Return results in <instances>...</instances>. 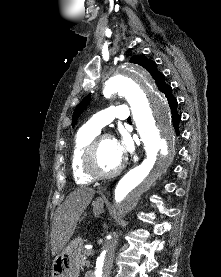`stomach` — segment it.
Masks as SVG:
<instances>
[{
	"mask_svg": "<svg viewBox=\"0 0 221 277\" xmlns=\"http://www.w3.org/2000/svg\"><path fill=\"white\" fill-rule=\"evenodd\" d=\"M93 212L99 215L104 212V201L96 199L92 203ZM84 240L77 237L70 241L55 257L52 263V277H79L83 256Z\"/></svg>",
	"mask_w": 221,
	"mask_h": 277,
	"instance_id": "0dacf381",
	"label": "stomach"
}]
</instances>
